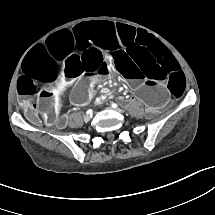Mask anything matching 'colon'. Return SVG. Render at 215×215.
<instances>
[{"label": "colon", "instance_id": "5ec220e1", "mask_svg": "<svg viewBox=\"0 0 215 215\" xmlns=\"http://www.w3.org/2000/svg\"><path fill=\"white\" fill-rule=\"evenodd\" d=\"M41 110L45 114V121L48 125H53L58 119V111L55 105V101L52 97L43 96L39 102ZM26 108L25 113L27 118L33 121L37 120V116L34 112L33 106L24 105Z\"/></svg>", "mask_w": 215, "mask_h": 215}]
</instances>
